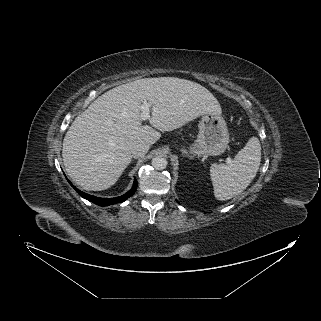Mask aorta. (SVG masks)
Returning a JSON list of instances; mask_svg holds the SVG:
<instances>
[{
    "label": "aorta",
    "mask_w": 321,
    "mask_h": 321,
    "mask_svg": "<svg viewBox=\"0 0 321 321\" xmlns=\"http://www.w3.org/2000/svg\"><path fill=\"white\" fill-rule=\"evenodd\" d=\"M151 164L156 170H163L167 167L168 162L165 157L156 156L152 159Z\"/></svg>",
    "instance_id": "aorta-1"
}]
</instances>
